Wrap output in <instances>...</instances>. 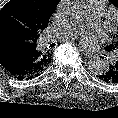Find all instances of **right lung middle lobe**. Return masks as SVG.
<instances>
[{
    "label": "right lung middle lobe",
    "mask_w": 118,
    "mask_h": 118,
    "mask_svg": "<svg viewBox=\"0 0 118 118\" xmlns=\"http://www.w3.org/2000/svg\"><path fill=\"white\" fill-rule=\"evenodd\" d=\"M34 0H10L0 11V22L10 26L19 38H27L41 29Z\"/></svg>",
    "instance_id": "1"
}]
</instances>
